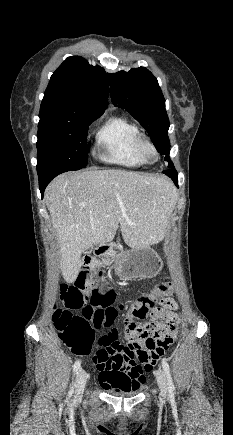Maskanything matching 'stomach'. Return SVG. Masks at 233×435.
Here are the masks:
<instances>
[{
    "instance_id": "0dacf381",
    "label": "stomach",
    "mask_w": 233,
    "mask_h": 435,
    "mask_svg": "<svg viewBox=\"0 0 233 435\" xmlns=\"http://www.w3.org/2000/svg\"><path fill=\"white\" fill-rule=\"evenodd\" d=\"M163 267L158 253L150 248H132L116 262L115 273L122 279L152 278Z\"/></svg>"
}]
</instances>
